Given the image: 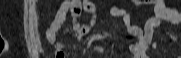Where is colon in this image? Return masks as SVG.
<instances>
[{"label":"colon","instance_id":"5ec220e1","mask_svg":"<svg viewBox=\"0 0 181 58\" xmlns=\"http://www.w3.org/2000/svg\"><path fill=\"white\" fill-rule=\"evenodd\" d=\"M56 58H64V53H59L56 55Z\"/></svg>","mask_w":181,"mask_h":58}]
</instances>
